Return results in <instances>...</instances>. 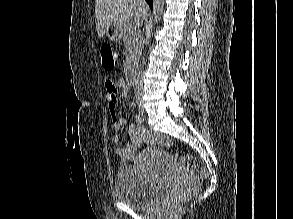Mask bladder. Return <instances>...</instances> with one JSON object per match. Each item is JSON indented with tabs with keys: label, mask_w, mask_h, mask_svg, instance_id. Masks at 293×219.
Here are the masks:
<instances>
[{
	"label": "bladder",
	"mask_w": 293,
	"mask_h": 219,
	"mask_svg": "<svg viewBox=\"0 0 293 219\" xmlns=\"http://www.w3.org/2000/svg\"><path fill=\"white\" fill-rule=\"evenodd\" d=\"M167 189L164 181L151 182L130 165L119 168L115 177L117 201L131 207L143 209L162 198Z\"/></svg>",
	"instance_id": "bladder-1"
}]
</instances>
